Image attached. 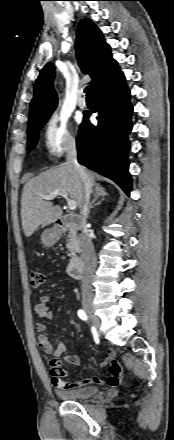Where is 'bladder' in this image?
Returning <instances> with one entry per match:
<instances>
[{
  "label": "bladder",
  "mask_w": 174,
  "mask_h": 440,
  "mask_svg": "<svg viewBox=\"0 0 174 440\" xmlns=\"http://www.w3.org/2000/svg\"><path fill=\"white\" fill-rule=\"evenodd\" d=\"M98 392L96 386H84L69 391H60L59 394L67 400H77L92 397Z\"/></svg>",
  "instance_id": "1"
}]
</instances>
